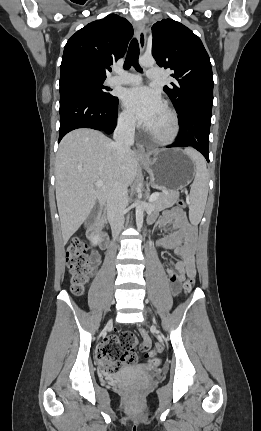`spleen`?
I'll list each match as a JSON object with an SVG mask.
<instances>
[{"label":"spleen","mask_w":261,"mask_h":431,"mask_svg":"<svg viewBox=\"0 0 261 431\" xmlns=\"http://www.w3.org/2000/svg\"><path fill=\"white\" fill-rule=\"evenodd\" d=\"M184 153L195 163L196 173L190 190V211L195 216L203 215L208 195V171L204 158L195 150L187 148Z\"/></svg>","instance_id":"3e777b00"}]
</instances>
